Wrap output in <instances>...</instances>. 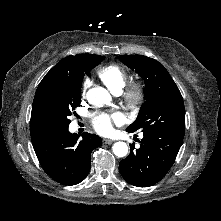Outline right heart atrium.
I'll return each mask as SVG.
<instances>
[{
	"label": "right heart atrium",
	"mask_w": 221,
	"mask_h": 221,
	"mask_svg": "<svg viewBox=\"0 0 221 221\" xmlns=\"http://www.w3.org/2000/svg\"><path fill=\"white\" fill-rule=\"evenodd\" d=\"M89 85H90V81L88 79H85L84 82H83V87H82L83 93L86 92V90L89 87Z\"/></svg>",
	"instance_id": "1"
}]
</instances>
